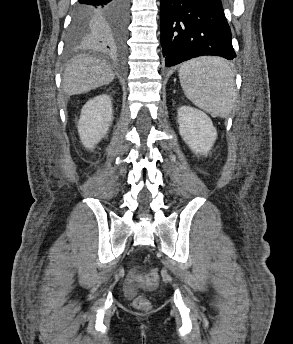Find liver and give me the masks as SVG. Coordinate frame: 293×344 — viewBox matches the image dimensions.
I'll return each instance as SVG.
<instances>
[{
	"instance_id": "6515ba94",
	"label": "liver",
	"mask_w": 293,
	"mask_h": 344,
	"mask_svg": "<svg viewBox=\"0 0 293 344\" xmlns=\"http://www.w3.org/2000/svg\"><path fill=\"white\" fill-rule=\"evenodd\" d=\"M115 73L105 62L92 58L72 60L65 68L62 88L65 94L89 92L113 81Z\"/></svg>"
}]
</instances>
